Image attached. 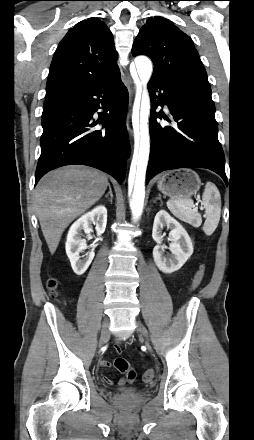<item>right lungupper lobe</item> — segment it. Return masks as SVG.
<instances>
[{
    "label": "right lung upper lobe",
    "mask_w": 254,
    "mask_h": 440,
    "mask_svg": "<svg viewBox=\"0 0 254 440\" xmlns=\"http://www.w3.org/2000/svg\"><path fill=\"white\" fill-rule=\"evenodd\" d=\"M113 38L96 18L83 20L58 45L50 67L46 95L84 83L120 79Z\"/></svg>",
    "instance_id": "right-lung-upper-lobe-1"
}]
</instances>
